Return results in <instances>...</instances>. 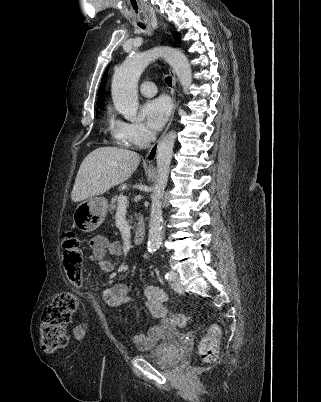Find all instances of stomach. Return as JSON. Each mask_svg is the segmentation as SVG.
<instances>
[{
	"label": "stomach",
	"instance_id": "0dacf381",
	"mask_svg": "<svg viewBox=\"0 0 321 402\" xmlns=\"http://www.w3.org/2000/svg\"><path fill=\"white\" fill-rule=\"evenodd\" d=\"M108 212V201L101 196L90 197L74 210L72 219L74 226L83 232L97 229L105 220Z\"/></svg>",
	"mask_w": 321,
	"mask_h": 402
}]
</instances>
